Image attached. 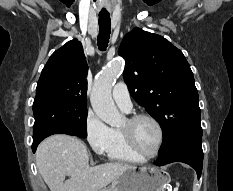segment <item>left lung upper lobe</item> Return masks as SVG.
<instances>
[{
	"label": "left lung upper lobe",
	"mask_w": 233,
	"mask_h": 191,
	"mask_svg": "<svg viewBox=\"0 0 233 191\" xmlns=\"http://www.w3.org/2000/svg\"><path fill=\"white\" fill-rule=\"evenodd\" d=\"M131 96L160 124V155L189 135H202L198 91L183 53L164 37L134 28L118 49Z\"/></svg>",
	"instance_id": "1"
}]
</instances>
